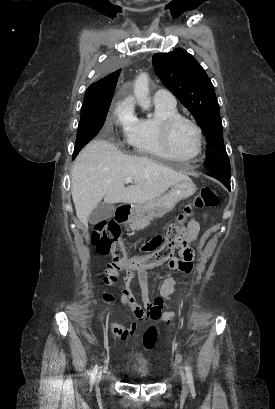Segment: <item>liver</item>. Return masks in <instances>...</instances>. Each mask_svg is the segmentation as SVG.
<instances>
[{"instance_id":"obj_1","label":"liver","mask_w":275,"mask_h":409,"mask_svg":"<svg viewBox=\"0 0 275 409\" xmlns=\"http://www.w3.org/2000/svg\"><path fill=\"white\" fill-rule=\"evenodd\" d=\"M134 182L125 186V178ZM189 178L147 156H130L112 142L95 138L80 150L72 168V198L76 215L88 227V217L100 200L143 205L161 196L170 186Z\"/></svg>"}]
</instances>
